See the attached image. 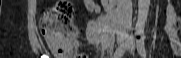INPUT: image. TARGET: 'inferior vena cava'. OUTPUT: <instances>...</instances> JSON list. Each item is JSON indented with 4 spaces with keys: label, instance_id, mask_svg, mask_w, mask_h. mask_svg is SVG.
<instances>
[{
    "label": "inferior vena cava",
    "instance_id": "inferior-vena-cava-1",
    "mask_svg": "<svg viewBox=\"0 0 181 58\" xmlns=\"http://www.w3.org/2000/svg\"><path fill=\"white\" fill-rule=\"evenodd\" d=\"M121 27L122 31L126 34L131 29L132 25V0H121Z\"/></svg>",
    "mask_w": 181,
    "mask_h": 58
}]
</instances>
